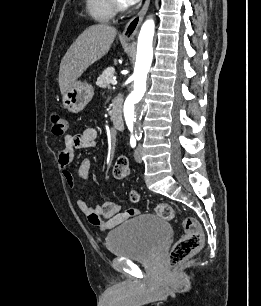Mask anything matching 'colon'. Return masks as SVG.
<instances>
[{"label":"colon","mask_w":261,"mask_h":306,"mask_svg":"<svg viewBox=\"0 0 261 306\" xmlns=\"http://www.w3.org/2000/svg\"><path fill=\"white\" fill-rule=\"evenodd\" d=\"M52 123V132L55 135H63L68 129V124L64 116L54 111L50 116ZM113 177L117 180L126 179L130 175V164L127 158L120 157L113 166ZM132 201H138L139 195L136 192L131 193ZM156 213L163 219L171 221L175 219L176 212L172 205L160 203L156 206ZM184 235L173 245L169 256L168 265L175 267L186 258L198 251L203 243V232L199 222L192 217L183 220Z\"/></svg>","instance_id":"1"}]
</instances>
